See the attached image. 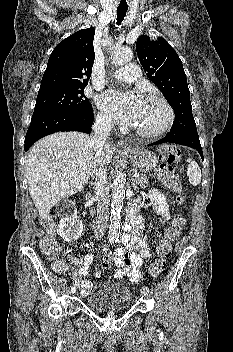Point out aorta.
<instances>
[{"label": "aorta", "instance_id": "762f6f07", "mask_svg": "<svg viewBox=\"0 0 233 352\" xmlns=\"http://www.w3.org/2000/svg\"><path fill=\"white\" fill-rule=\"evenodd\" d=\"M133 57V52L128 47H118L112 51V62L115 65L128 63ZM126 176L121 170L115 173L112 184L111 216L108 238L110 242L118 239L120 233L121 210L125 198Z\"/></svg>", "mask_w": 233, "mask_h": 352}]
</instances>
